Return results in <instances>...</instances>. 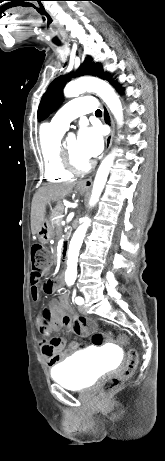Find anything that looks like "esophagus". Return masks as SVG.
Wrapping results in <instances>:
<instances>
[{"mask_svg":"<svg viewBox=\"0 0 165 461\" xmlns=\"http://www.w3.org/2000/svg\"><path fill=\"white\" fill-rule=\"evenodd\" d=\"M102 111H103L104 122L110 127V133L108 134L106 138V145H105V154H106L112 144V139L114 136V125H113L111 114L106 105L102 106ZM92 184H93L92 177H89L87 179L80 181L78 185L84 188H91Z\"/></svg>","mask_w":165,"mask_h":461,"instance_id":"34e87169","label":"esophagus"}]
</instances>
